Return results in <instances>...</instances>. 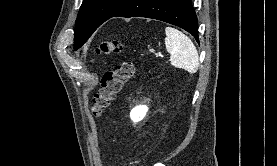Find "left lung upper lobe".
I'll return each mask as SVG.
<instances>
[{"label": "left lung upper lobe", "mask_w": 277, "mask_h": 166, "mask_svg": "<svg viewBox=\"0 0 277 166\" xmlns=\"http://www.w3.org/2000/svg\"><path fill=\"white\" fill-rule=\"evenodd\" d=\"M133 0H83L74 29V49H79L106 20Z\"/></svg>", "instance_id": "left-lung-upper-lobe-1"}]
</instances>
